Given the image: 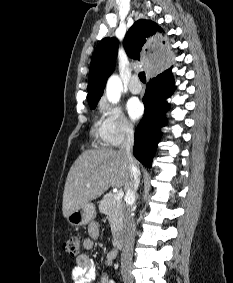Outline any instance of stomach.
I'll return each mask as SVG.
<instances>
[{"label": "stomach", "instance_id": "0dacf381", "mask_svg": "<svg viewBox=\"0 0 233 283\" xmlns=\"http://www.w3.org/2000/svg\"><path fill=\"white\" fill-rule=\"evenodd\" d=\"M96 217V208L92 203H87L71 212L67 217V222L72 226H82L91 222Z\"/></svg>", "mask_w": 233, "mask_h": 283}]
</instances>
